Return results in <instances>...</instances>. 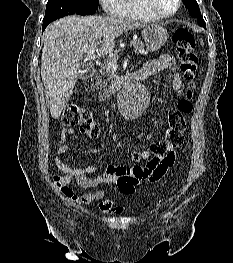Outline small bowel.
Listing matches in <instances>:
<instances>
[{"label": "small bowel", "instance_id": "small-bowel-1", "mask_svg": "<svg viewBox=\"0 0 233 263\" xmlns=\"http://www.w3.org/2000/svg\"><path fill=\"white\" fill-rule=\"evenodd\" d=\"M147 74V77L155 75L164 70H176V61L171 54H162L156 60L146 63L142 69ZM182 79L177 72L172 75L173 89L179 91L182 88ZM75 134L72 128L62 130L59 139V153L55 157V163L60 170L64 172V176L57 181V186L63 195L77 204H90L99 201V209L104 213L119 212L121 207H118L114 198L108 197L106 190L97 189L88 191L81 196L76 195L69 184L74 178L78 185L83 188H99L104 185H111L123 195H132L135 192L136 185L143 180H150L151 166L142 167L146 176L135 177L120 173V169L128 167L124 165H109L105 167L101 173L97 174L99 168L95 165H90L85 168H75L68 165L64 160V155L69 150L67 138L69 135Z\"/></svg>", "mask_w": 233, "mask_h": 263}]
</instances>
